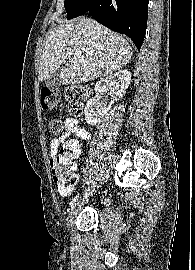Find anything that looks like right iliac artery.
<instances>
[{"instance_id": "1", "label": "right iliac artery", "mask_w": 195, "mask_h": 270, "mask_svg": "<svg viewBox=\"0 0 195 270\" xmlns=\"http://www.w3.org/2000/svg\"><path fill=\"white\" fill-rule=\"evenodd\" d=\"M79 198V194L70 202V207L73 208L74 204L76 203V201Z\"/></svg>"}]
</instances>
